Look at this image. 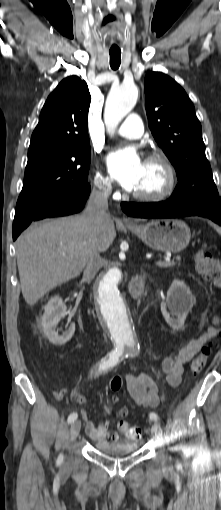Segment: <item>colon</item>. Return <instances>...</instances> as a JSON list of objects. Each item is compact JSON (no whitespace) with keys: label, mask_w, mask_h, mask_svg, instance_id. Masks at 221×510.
<instances>
[{"label":"colon","mask_w":221,"mask_h":510,"mask_svg":"<svg viewBox=\"0 0 221 510\" xmlns=\"http://www.w3.org/2000/svg\"><path fill=\"white\" fill-rule=\"evenodd\" d=\"M194 262L198 271L205 277V279L210 281L215 287L221 290V266L218 264V262L203 250H199L195 253ZM209 353L210 347L206 346L193 359L190 365V370L193 375H198L202 371L206 364ZM121 387V377L117 375L112 377L110 381L111 390L117 392L121 389ZM127 415L128 410L126 408H122L118 412V416L120 418H124ZM127 430L132 438H139L141 436V430L139 428L127 427Z\"/></svg>","instance_id":"colon-1"}]
</instances>
